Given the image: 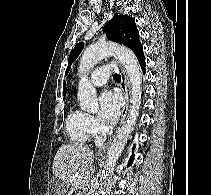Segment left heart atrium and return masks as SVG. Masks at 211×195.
Instances as JSON below:
<instances>
[{
	"instance_id": "1",
	"label": "left heart atrium",
	"mask_w": 211,
	"mask_h": 195,
	"mask_svg": "<svg viewBox=\"0 0 211 195\" xmlns=\"http://www.w3.org/2000/svg\"><path fill=\"white\" fill-rule=\"evenodd\" d=\"M100 112L99 116L104 124H113L120 113L121 100L114 91H105L100 95Z\"/></svg>"
}]
</instances>
